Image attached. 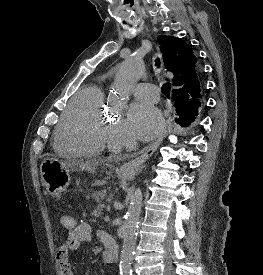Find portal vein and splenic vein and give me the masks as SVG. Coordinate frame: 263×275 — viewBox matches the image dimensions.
<instances>
[{
    "label": "portal vein and splenic vein",
    "instance_id": "18ae733b",
    "mask_svg": "<svg viewBox=\"0 0 263 275\" xmlns=\"http://www.w3.org/2000/svg\"><path fill=\"white\" fill-rule=\"evenodd\" d=\"M104 220H105V221H109V216H105V217H104Z\"/></svg>",
    "mask_w": 263,
    "mask_h": 275
}]
</instances>
